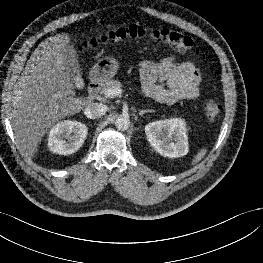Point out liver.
<instances>
[{"instance_id": "6515ba94", "label": "liver", "mask_w": 263, "mask_h": 263, "mask_svg": "<svg viewBox=\"0 0 263 263\" xmlns=\"http://www.w3.org/2000/svg\"><path fill=\"white\" fill-rule=\"evenodd\" d=\"M70 37L47 38L27 61L12 98L11 120L19 149L37 153L42 137L56 122L80 112L88 102L75 97L74 83L64 64Z\"/></svg>"}]
</instances>
